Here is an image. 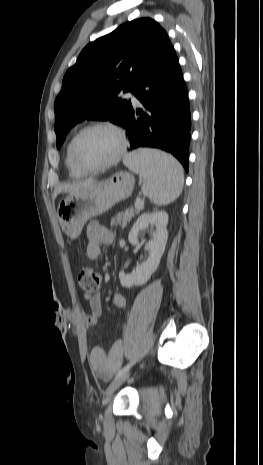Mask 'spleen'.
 I'll return each mask as SVG.
<instances>
[{
    "mask_svg": "<svg viewBox=\"0 0 263 465\" xmlns=\"http://www.w3.org/2000/svg\"><path fill=\"white\" fill-rule=\"evenodd\" d=\"M124 164L142 179V192L156 205H167L182 192L184 174L171 155L155 149H138L128 154Z\"/></svg>",
    "mask_w": 263,
    "mask_h": 465,
    "instance_id": "1",
    "label": "spleen"
}]
</instances>
